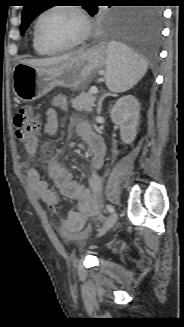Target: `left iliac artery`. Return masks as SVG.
<instances>
[{
    "label": "left iliac artery",
    "mask_w": 184,
    "mask_h": 327,
    "mask_svg": "<svg viewBox=\"0 0 184 327\" xmlns=\"http://www.w3.org/2000/svg\"><path fill=\"white\" fill-rule=\"evenodd\" d=\"M107 210L110 212V213H113L114 212V207L112 205H107Z\"/></svg>",
    "instance_id": "left-iliac-artery-1"
}]
</instances>
